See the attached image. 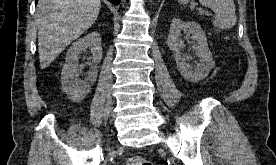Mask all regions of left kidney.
<instances>
[{
	"instance_id": "5707ae66",
	"label": "left kidney",
	"mask_w": 276,
	"mask_h": 165,
	"mask_svg": "<svg viewBox=\"0 0 276 165\" xmlns=\"http://www.w3.org/2000/svg\"><path fill=\"white\" fill-rule=\"evenodd\" d=\"M182 31L191 34L194 40L193 48L195 49L196 56L199 58V63L195 66L186 63V59L181 55V50L185 47L183 41L179 39ZM167 45L175 54L178 71L188 81L198 82L204 79L214 67L206 35L202 31L201 26L196 22H183L178 18H174L170 25Z\"/></svg>"
}]
</instances>
